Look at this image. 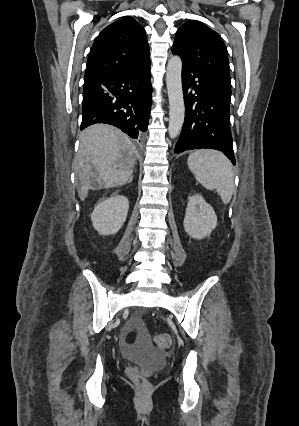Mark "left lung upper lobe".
<instances>
[{"instance_id": "5c2ea615", "label": "left lung upper lobe", "mask_w": 299, "mask_h": 426, "mask_svg": "<svg viewBox=\"0 0 299 426\" xmlns=\"http://www.w3.org/2000/svg\"><path fill=\"white\" fill-rule=\"evenodd\" d=\"M172 52L231 94L227 48L218 33L200 22L187 21L176 33Z\"/></svg>"}]
</instances>
